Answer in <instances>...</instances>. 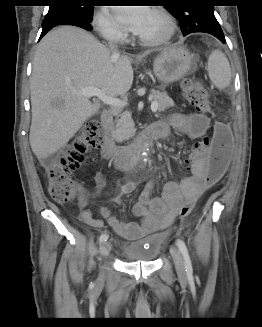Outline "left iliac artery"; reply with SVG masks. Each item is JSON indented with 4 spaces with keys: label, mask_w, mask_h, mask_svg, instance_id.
I'll use <instances>...</instances> for the list:
<instances>
[{
    "label": "left iliac artery",
    "mask_w": 262,
    "mask_h": 327,
    "mask_svg": "<svg viewBox=\"0 0 262 327\" xmlns=\"http://www.w3.org/2000/svg\"><path fill=\"white\" fill-rule=\"evenodd\" d=\"M176 243H177V246H178L180 252L183 255L186 272H187L188 275H192L193 268H192V264H191V260H190V256H189L186 244L182 239H177Z\"/></svg>",
    "instance_id": "1"
}]
</instances>
